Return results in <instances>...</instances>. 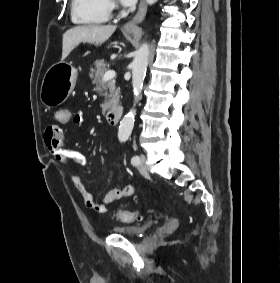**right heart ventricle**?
I'll list each match as a JSON object with an SVG mask.
<instances>
[{"instance_id":"obj_1","label":"right heart ventricle","mask_w":280,"mask_h":283,"mask_svg":"<svg viewBox=\"0 0 280 283\" xmlns=\"http://www.w3.org/2000/svg\"><path fill=\"white\" fill-rule=\"evenodd\" d=\"M71 19L76 24L96 25L110 19L107 0H72Z\"/></svg>"}]
</instances>
